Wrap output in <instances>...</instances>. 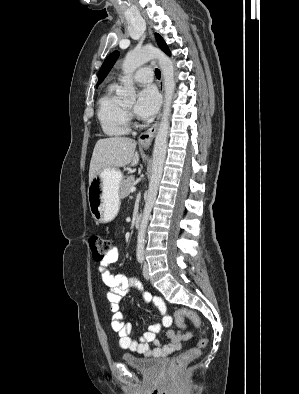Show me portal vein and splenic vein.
Instances as JSON below:
<instances>
[{
	"instance_id": "18ae733b",
	"label": "portal vein and splenic vein",
	"mask_w": 299,
	"mask_h": 394,
	"mask_svg": "<svg viewBox=\"0 0 299 394\" xmlns=\"http://www.w3.org/2000/svg\"><path fill=\"white\" fill-rule=\"evenodd\" d=\"M136 191V187H131L130 192H135Z\"/></svg>"
}]
</instances>
